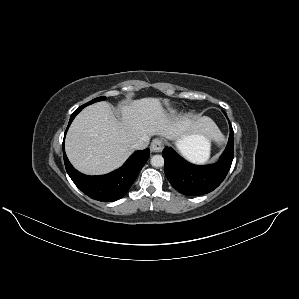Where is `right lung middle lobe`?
Returning a JSON list of instances; mask_svg holds the SVG:
<instances>
[{
	"instance_id": "right-lung-middle-lobe-1",
	"label": "right lung middle lobe",
	"mask_w": 299,
	"mask_h": 299,
	"mask_svg": "<svg viewBox=\"0 0 299 299\" xmlns=\"http://www.w3.org/2000/svg\"><path fill=\"white\" fill-rule=\"evenodd\" d=\"M102 100H105V97H104V96H103V97L95 98V99H93L92 101H90V102L84 104L83 106L86 107V106H88V105H90V104H92V103H95V102H98V101H102Z\"/></svg>"
}]
</instances>
